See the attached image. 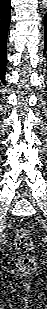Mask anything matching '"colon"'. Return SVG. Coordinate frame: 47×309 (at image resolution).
Returning <instances> with one entry per match:
<instances>
[{"instance_id": "obj_1", "label": "colon", "mask_w": 47, "mask_h": 309, "mask_svg": "<svg viewBox=\"0 0 47 309\" xmlns=\"http://www.w3.org/2000/svg\"><path fill=\"white\" fill-rule=\"evenodd\" d=\"M17 250L22 254L18 258V267L21 271L30 272L36 267V261L28 253L33 248L31 231L26 227H19L14 234Z\"/></svg>"}]
</instances>
